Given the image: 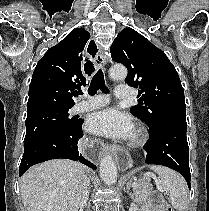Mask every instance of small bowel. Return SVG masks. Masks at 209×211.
<instances>
[{"label": "small bowel", "mask_w": 209, "mask_h": 211, "mask_svg": "<svg viewBox=\"0 0 209 211\" xmlns=\"http://www.w3.org/2000/svg\"><path fill=\"white\" fill-rule=\"evenodd\" d=\"M140 211H165L163 197L159 193H153Z\"/></svg>", "instance_id": "obj_1"}]
</instances>
